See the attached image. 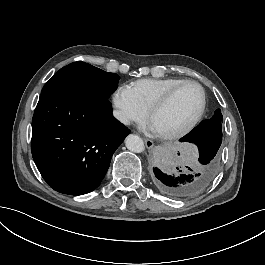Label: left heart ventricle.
Segmentation results:
<instances>
[{"instance_id":"1","label":"left heart ventricle","mask_w":265,"mask_h":265,"mask_svg":"<svg viewBox=\"0 0 265 265\" xmlns=\"http://www.w3.org/2000/svg\"><path fill=\"white\" fill-rule=\"evenodd\" d=\"M201 99L200 89L194 84H186L153 115L150 124L159 135L177 131L193 119L200 108Z\"/></svg>"}]
</instances>
